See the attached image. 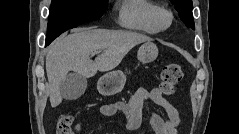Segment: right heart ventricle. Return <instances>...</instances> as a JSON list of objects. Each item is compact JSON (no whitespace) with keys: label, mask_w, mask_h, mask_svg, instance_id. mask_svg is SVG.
Instances as JSON below:
<instances>
[{"label":"right heart ventricle","mask_w":239,"mask_h":134,"mask_svg":"<svg viewBox=\"0 0 239 134\" xmlns=\"http://www.w3.org/2000/svg\"><path fill=\"white\" fill-rule=\"evenodd\" d=\"M158 5L149 0H124L119 4L118 22L126 29L156 34L158 29L153 23V13Z\"/></svg>","instance_id":"e07e8e85"}]
</instances>
